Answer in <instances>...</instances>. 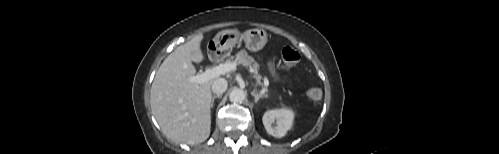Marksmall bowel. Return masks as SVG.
I'll return each mask as SVG.
<instances>
[{"label":"small bowel","mask_w":499,"mask_h":154,"mask_svg":"<svg viewBox=\"0 0 499 154\" xmlns=\"http://www.w3.org/2000/svg\"><path fill=\"white\" fill-rule=\"evenodd\" d=\"M270 70L271 72L273 73L274 76L278 77L277 73H276V70L274 68V66L272 64H270Z\"/></svg>","instance_id":"c3829d8e"}]
</instances>
